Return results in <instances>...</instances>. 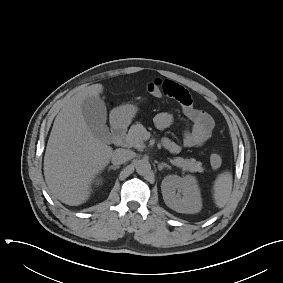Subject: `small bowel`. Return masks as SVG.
Returning <instances> with one entry per match:
<instances>
[{
    "mask_svg": "<svg viewBox=\"0 0 283 283\" xmlns=\"http://www.w3.org/2000/svg\"><path fill=\"white\" fill-rule=\"evenodd\" d=\"M163 96H167L178 101L182 107L184 115L191 121L192 126L184 132L183 146L194 148L202 146L212 135L214 122L212 117L204 110L196 109L193 105L189 91L180 84L165 80L162 81ZM174 123V118L167 112H160L154 117V124L159 130H165ZM162 145L170 153L177 154L181 151L182 145L165 137Z\"/></svg>",
    "mask_w": 283,
    "mask_h": 283,
    "instance_id": "small-bowel-1",
    "label": "small bowel"
}]
</instances>
